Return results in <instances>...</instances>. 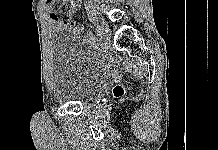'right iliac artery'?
<instances>
[{
	"instance_id": "82829eb1",
	"label": "right iliac artery",
	"mask_w": 218,
	"mask_h": 150,
	"mask_svg": "<svg viewBox=\"0 0 218 150\" xmlns=\"http://www.w3.org/2000/svg\"><path fill=\"white\" fill-rule=\"evenodd\" d=\"M90 30L93 32V33H92L93 35L90 36V39H91V40H94V39L98 36V35L96 34L98 31H97V29H96L94 26H91V27H90Z\"/></svg>"
}]
</instances>
